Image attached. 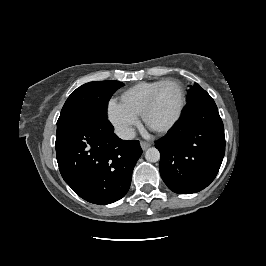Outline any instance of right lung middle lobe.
<instances>
[{"label":"right lung middle lobe","mask_w":266,"mask_h":266,"mask_svg":"<svg viewBox=\"0 0 266 266\" xmlns=\"http://www.w3.org/2000/svg\"><path fill=\"white\" fill-rule=\"evenodd\" d=\"M124 86L119 81H95L77 88L66 100L57 121L56 137L90 115L106 117L108 101Z\"/></svg>","instance_id":"dd1d6c3e"}]
</instances>
